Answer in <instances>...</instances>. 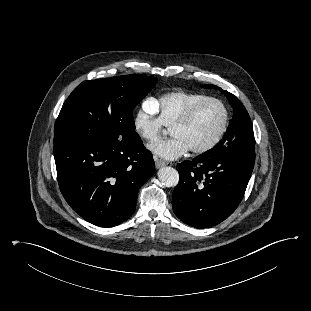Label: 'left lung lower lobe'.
Returning <instances> with one entry per match:
<instances>
[{"instance_id": "0a47b994", "label": "left lung lower lobe", "mask_w": 311, "mask_h": 311, "mask_svg": "<svg viewBox=\"0 0 311 311\" xmlns=\"http://www.w3.org/2000/svg\"><path fill=\"white\" fill-rule=\"evenodd\" d=\"M254 162L253 150H235L218 156L203 154L178 164L180 180L172 196L174 213L195 228L222 222L241 202Z\"/></svg>"}]
</instances>
